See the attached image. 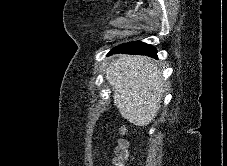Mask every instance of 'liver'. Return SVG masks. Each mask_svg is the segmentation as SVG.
I'll use <instances>...</instances> for the list:
<instances>
[{
  "label": "liver",
  "instance_id": "1",
  "mask_svg": "<svg viewBox=\"0 0 227 166\" xmlns=\"http://www.w3.org/2000/svg\"><path fill=\"white\" fill-rule=\"evenodd\" d=\"M106 80L113 87L114 101L122 117L145 126L157 116L165 84L153 60L138 55H121L109 64Z\"/></svg>",
  "mask_w": 227,
  "mask_h": 166
}]
</instances>
